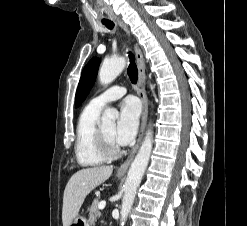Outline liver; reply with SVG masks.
I'll return each instance as SVG.
<instances>
[{
	"mask_svg": "<svg viewBox=\"0 0 247 226\" xmlns=\"http://www.w3.org/2000/svg\"><path fill=\"white\" fill-rule=\"evenodd\" d=\"M113 166L84 168L72 175L63 196L62 222L69 224L78 216L86 196L112 174Z\"/></svg>",
	"mask_w": 247,
	"mask_h": 226,
	"instance_id": "6515ba94",
	"label": "liver"
}]
</instances>
